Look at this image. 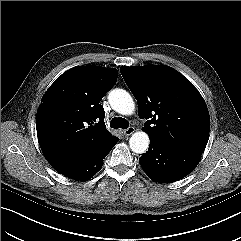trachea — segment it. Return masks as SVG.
I'll list each match as a JSON object with an SVG mask.
<instances>
[{"label": "trachea", "mask_w": 241, "mask_h": 241, "mask_svg": "<svg viewBox=\"0 0 241 241\" xmlns=\"http://www.w3.org/2000/svg\"><path fill=\"white\" fill-rule=\"evenodd\" d=\"M128 121L125 119V118H122V117H114L112 120H111V127L112 128H122V129H126L128 128Z\"/></svg>", "instance_id": "obj_1"}]
</instances>
